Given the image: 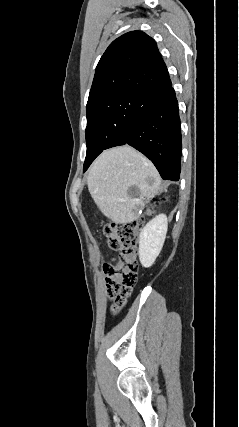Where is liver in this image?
<instances>
[{"label": "liver", "instance_id": "obj_1", "mask_svg": "<svg viewBox=\"0 0 239 427\" xmlns=\"http://www.w3.org/2000/svg\"><path fill=\"white\" fill-rule=\"evenodd\" d=\"M87 184L102 214L118 224L134 221L145 200L162 191L155 166L128 145L102 152L89 170ZM132 186L135 194L129 191Z\"/></svg>", "mask_w": 239, "mask_h": 427}]
</instances>
